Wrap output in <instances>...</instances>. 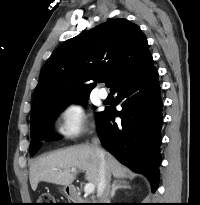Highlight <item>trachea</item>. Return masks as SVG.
<instances>
[{
    "label": "trachea",
    "instance_id": "obj_1",
    "mask_svg": "<svg viewBox=\"0 0 200 205\" xmlns=\"http://www.w3.org/2000/svg\"><path fill=\"white\" fill-rule=\"evenodd\" d=\"M102 81H103V82H106V81H107V78H106V77H104V78L102 79Z\"/></svg>",
    "mask_w": 200,
    "mask_h": 205
}]
</instances>
